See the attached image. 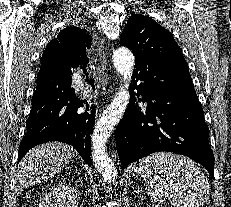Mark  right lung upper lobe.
<instances>
[{
	"instance_id": "cb5924a9",
	"label": "right lung upper lobe",
	"mask_w": 231,
	"mask_h": 207,
	"mask_svg": "<svg viewBox=\"0 0 231 207\" xmlns=\"http://www.w3.org/2000/svg\"><path fill=\"white\" fill-rule=\"evenodd\" d=\"M92 38L85 30L72 32L68 28L60 31L57 38L50 41L42 54V65H59L77 68L89 62L86 48L91 46Z\"/></svg>"
}]
</instances>
